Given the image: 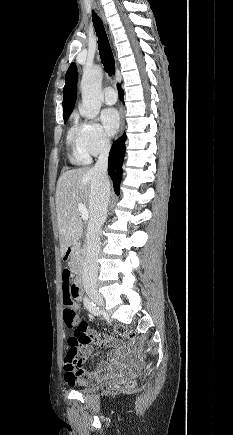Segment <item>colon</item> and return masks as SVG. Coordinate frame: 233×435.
<instances>
[{"label":"colon","mask_w":233,"mask_h":435,"mask_svg":"<svg viewBox=\"0 0 233 435\" xmlns=\"http://www.w3.org/2000/svg\"><path fill=\"white\" fill-rule=\"evenodd\" d=\"M61 279L65 284L70 282L71 272L68 269H64L62 271ZM63 303L65 305V310H64V314H63L64 323H65L66 327H68L69 329H73L78 324V314L76 311V305H75V302L73 300V296L65 293L64 298H63ZM114 331L119 336H121L125 339H128V340H131L135 337L134 331H132L131 329H128L124 326H121V325H117L114 328ZM80 341H82V338L77 336V335H72L68 338V351H67V354L65 357L67 362L76 363V364H80L83 362V360L80 356V352L78 350V345H79ZM131 386H133L132 383H129L127 385V387H131ZM111 389L118 390L119 386L113 385V386H111Z\"/></svg>","instance_id":"1"}]
</instances>
